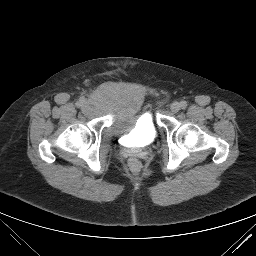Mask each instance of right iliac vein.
Instances as JSON below:
<instances>
[{
	"instance_id": "right-iliac-vein-1",
	"label": "right iliac vein",
	"mask_w": 256,
	"mask_h": 256,
	"mask_svg": "<svg viewBox=\"0 0 256 256\" xmlns=\"http://www.w3.org/2000/svg\"><path fill=\"white\" fill-rule=\"evenodd\" d=\"M82 108H83V110H88V109H89V105H88L87 101H85V102L82 104Z\"/></svg>"
}]
</instances>
